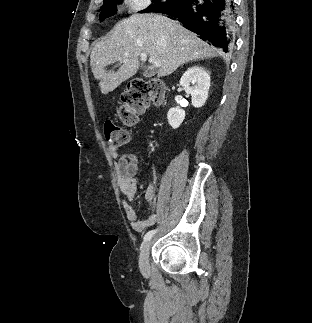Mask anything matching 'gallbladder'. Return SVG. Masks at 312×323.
<instances>
[{"instance_id":"gallbladder-1","label":"gallbladder","mask_w":312,"mask_h":323,"mask_svg":"<svg viewBox=\"0 0 312 323\" xmlns=\"http://www.w3.org/2000/svg\"><path fill=\"white\" fill-rule=\"evenodd\" d=\"M143 76L145 78H152V76H155V70H145Z\"/></svg>"}]
</instances>
